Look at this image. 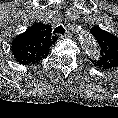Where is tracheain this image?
<instances>
[{
  "label": "trachea",
  "instance_id": "3493384b",
  "mask_svg": "<svg viewBox=\"0 0 118 118\" xmlns=\"http://www.w3.org/2000/svg\"><path fill=\"white\" fill-rule=\"evenodd\" d=\"M53 34H65V29L63 26H58L54 29Z\"/></svg>",
  "mask_w": 118,
  "mask_h": 118
}]
</instances>
